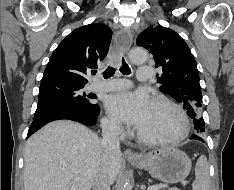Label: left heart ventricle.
<instances>
[{"label": "left heart ventricle", "mask_w": 234, "mask_h": 190, "mask_svg": "<svg viewBox=\"0 0 234 190\" xmlns=\"http://www.w3.org/2000/svg\"><path fill=\"white\" fill-rule=\"evenodd\" d=\"M181 129L176 112L163 103L152 102L149 113L138 130L149 137L173 136Z\"/></svg>", "instance_id": "1"}]
</instances>
